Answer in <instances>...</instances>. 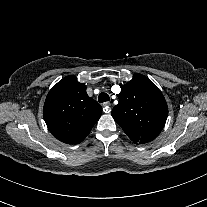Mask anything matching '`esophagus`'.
I'll use <instances>...</instances> for the list:
<instances>
[{"label": "esophagus", "instance_id": "34e87169", "mask_svg": "<svg viewBox=\"0 0 207 207\" xmlns=\"http://www.w3.org/2000/svg\"><path fill=\"white\" fill-rule=\"evenodd\" d=\"M111 103L110 102H105L103 103V107H104V112L105 113H110L111 112V108H110Z\"/></svg>", "mask_w": 207, "mask_h": 207}]
</instances>
